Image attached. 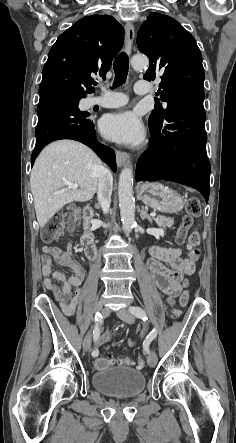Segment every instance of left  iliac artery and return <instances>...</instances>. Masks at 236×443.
<instances>
[{
	"mask_svg": "<svg viewBox=\"0 0 236 443\" xmlns=\"http://www.w3.org/2000/svg\"><path fill=\"white\" fill-rule=\"evenodd\" d=\"M129 311L136 316L139 319H142L143 321L148 320L147 314L146 312L138 307V306H131L129 307ZM157 336V329H152L151 332L147 335L146 339L143 342V348L145 351L148 352V347L149 344L151 343V341H153L155 339V337Z\"/></svg>",
	"mask_w": 236,
	"mask_h": 443,
	"instance_id": "obj_1",
	"label": "left iliac artery"
}]
</instances>
